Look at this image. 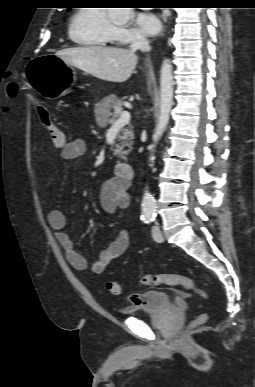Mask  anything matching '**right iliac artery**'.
Returning a JSON list of instances; mask_svg holds the SVG:
<instances>
[{
	"instance_id": "obj_1",
	"label": "right iliac artery",
	"mask_w": 255,
	"mask_h": 387,
	"mask_svg": "<svg viewBox=\"0 0 255 387\" xmlns=\"http://www.w3.org/2000/svg\"><path fill=\"white\" fill-rule=\"evenodd\" d=\"M142 220L144 221V223H149V221H150L149 218H142Z\"/></svg>"
}]
</instances>
